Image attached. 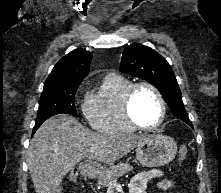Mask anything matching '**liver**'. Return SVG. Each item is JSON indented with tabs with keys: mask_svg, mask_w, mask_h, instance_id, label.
<instances>
[{
	"mask_svg": "<svg viewBox=\"0 0 221 193\" xmlns=\"http://www.w3.org/2000/svg\"><path fill=\"white\" fill-rule=\"evenodd\" d=\"M147 138L148 135L92 132L68 115L49 118L35 133L28 150V168L35 191L61 193L62 179L81 160L111 164Z\"/></svg>",
	"mask_w": 221,
	"mask_h": 193,
	"instance_id": "6515ba94",
	"label": "liver"
}]
</instances>
